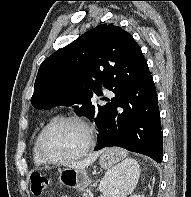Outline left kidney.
I'll use <instances>...</instances> for the list:
<instances>
[{"label":"left kidney","instance_id":"5707ae66","mask_svg":"<svg viewBox=\"0 0 191 197\" xmlns=\"http://www.w3.org/2000/svg\"><path fill=\"white\" fill-rule=\"evenodd\" d=\"M130 197H144V196L141 195V194H133V195H131Z\"/></svg>","mask_w":191,"mask_h":197}]
</instances>
